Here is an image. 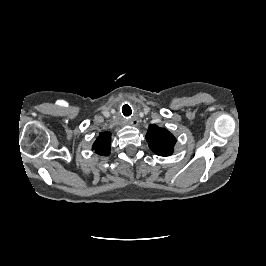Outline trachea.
<instances>
[{
    "label": "trachea",
    "mask_w": 266,
    "mask_h": 266,
    "mask_svg": "<svg viewBox=\"0 0 266 266\" xmlns=\"http://www.w3.org/2000/svg\"><path fill=\"white\" fill-rule=\"evenodd\" d=\"M122 112L125 116H130L132 114V110L129 105L125 104L122 108Z\"/></svg>",
    "instance_id": "1"
}]
</instances>
